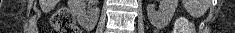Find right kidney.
<instances>
[{
  "mask_svg": "<svg viewBox=\"0 0 235 33\" xmlns=\"http://www.w3.org/2000/svg\"><path fill=\"white\" fill-rule=\"evenodd\" d=\"M69 7L72 13L81 21H87L89 18L97 20L100 10L98 7L92 8L88 13L86 12L85 0H70Z\"/></svg>",
  "mask_w": 235,
  "mask_h": 33,
  "instance_id": "right-kidney-1",
  "label": "right kidney"
}]
</instances>
